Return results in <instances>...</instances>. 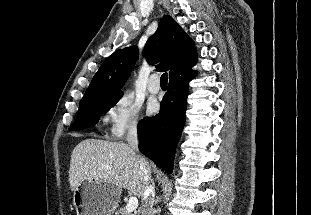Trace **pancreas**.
I'll use <instances>...</instances> for the list:
<instances>
[{
	"mask_svg": "<svg viewBox=\"0 0 311 215\" xmlns=\"http://www.w3.org/2000/svg\"><path fill=\"white\" fill-rule=\"evenodd\" d=\"M115 215H135L131 212H128L125 208H120V210H118Z\"/></svg>",
	"mask_w": 311,
	"mask_h": 215,
	"instance_id": "pancreas-1",
	"label": "pancreas"
}]
</instances>
